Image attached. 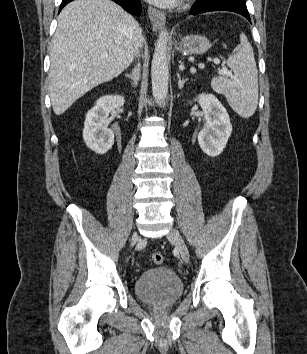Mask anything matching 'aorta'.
I'll return each instance as SVG.
<instances>
[{
  "label": "aorta",
  "instance_id": "762f6f07",
  "mask_svg": "<svg viewBox=\"0 0 307 354\" xmlns=\"http://www.w3.org/2000/svg\"><path fill=\"white\" fill-rule=\"evenodd\" d=\"M169 33L167 29H163L158 37L155 45V51L151 66L152 92L158 103L163 102L168 94V53L167 42Z\"/></svg>",
  "mask_w": 307,
  "mask_h": 354
}]
</instances>
